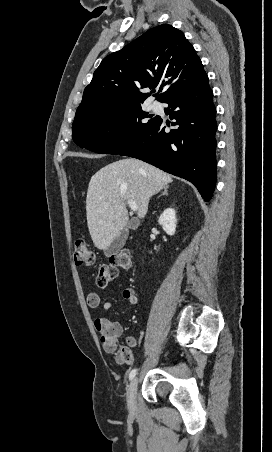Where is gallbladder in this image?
Returning a JSON list of instances; mask_svg holds the SVG:
<instances>
[{
  "mask_svg": "<svg viewBox=\"0 0 272 452\" xmlns=\"http://www.w3.org/2000/svg\"><path fill=\"white\" fill-rule=\"evenodd\" d=\"M137 227V222L131 220L127 226L121 231L120 235L113 240V242L104 250L106 257L117 254L120 249L125 245L126 240L129 235L130 229H135Z\"/></svg>",
  "mask_w": 272,
  "mask_h": 452,
  "instance_id": "bac80fb5",
  "label": "gallbladder"
}]
</instances>
